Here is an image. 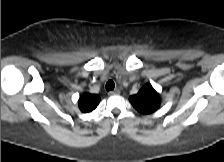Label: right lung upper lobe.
<instances>
[{
    "mask_svg": "<svg viewBox=\"0 0 224 162\" xmlns=\"http://www.w3.org/2000/svg\"><path fill=\"white\" fill-rule=\"evenodd\" d=\"M100 97L97 94L84 93L79 99V108L82 112L93 111L99 104Z\"/></svg>",
    "mask_w": 224,
    "mask_h": 162,
    "instance_id": "obj_1",
    "label": "right lung upper lobe"
}]
</instances>
